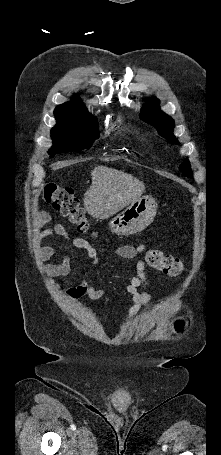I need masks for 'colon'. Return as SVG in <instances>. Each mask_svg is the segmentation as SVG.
Returning a JSON list of instances; mask_svg holds the SVG:
<instances>
[{"instance_id":"colon-1","label":"colon","mask_w":221,"mask_h":455,"mask_svg":"<svg viewBox=\"0 0 221 455\" xmlns=\"http://www.w3.org/2000/svg\"><path fill=\"white\" fill-rule=\"evenodd\" d=\"M44 199L63 217L75 224L81 233L89 231L90 220L71 188L48 183L44 188ZM144 258L150 267L169 276H177L183 270V260L166 255L158 248L147 249ZM183 327L184 324L180 321L176 325V330L180 331Z\"/></svg>"}]
</instances>
